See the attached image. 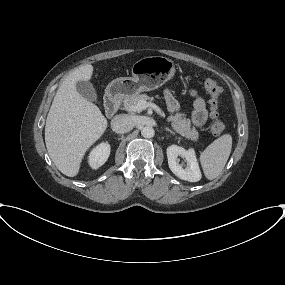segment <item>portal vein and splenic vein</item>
<instances>
[{
	"label": "portal vein and splenic vein",
	"mask_w": 285,
	"mask_h": 285,
	"mask_svg": "<svg viewBox=\"0 0 285 285\" xmlns=\"http://www.w3.org/2000/svg\"><path fill=\"white\" fill-rule=\"evenodd\" d=\"M148 107L154 109L159 114H163L161 109L156 104L151 103V102L140 101L137 103V105L134 108L139 110V111H142Z\"/></svg>",
	"instance_id": "1"
}]
</instances>
